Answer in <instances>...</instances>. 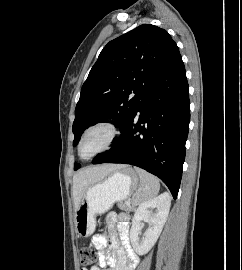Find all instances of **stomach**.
Masks as SVG:
<instances>
[{"label":"stomach","instance_id":"1","mask_svg":"<svg viewBox=\"0 0 242 270\" xmlns=\"http://www.w3.org/2000/svg\"><path fill=\"white\" fill-rule=\"evenodd\" d=\"M138 186V176L129 166L110 173L91 185L75 212V230L79 237H89L96 227V215L108 211L113 203L127 199Z\"/></svg>","mask_w":242,"mask_h":270}]
</instances>
